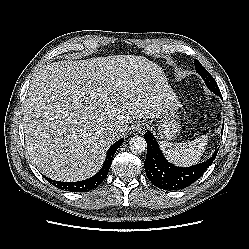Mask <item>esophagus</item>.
I'll return each mask as SVG.
<instances>
[{
	"mask_svg": "<svg viewBox=\"0 0 249 249\" xmlns=\"http://www.w3.org/2000/svg\"><path fill=\"white\" fill-rule=\"evenodd\" d=\"M144 127H145V124L139 121L133 125L132 131L136 134H139L143 131Z\"/></svg>",
	"mask_w": 249,
	"mask_h": 249,
	"instance_id": "esophagus-1",
	"label": "esophagus"
}]
</instances>
